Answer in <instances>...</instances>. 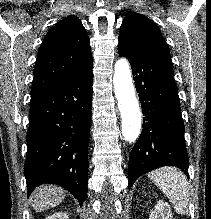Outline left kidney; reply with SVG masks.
I'll list each match as a JSON object with an SVG mask.
<instances>
[{
	"instance_id": "obj_1",
	"label": "left kidney",
	"mask_w": 211,
	"mask_h": 219,
	"mask_svg": "<svg viewBox=\"0 0 211 219\" xmlns=\"http://www.w3.org/2000/svg\"><path fill=\"white\" fill-rule=\"evenodd\" d=\"M149 219H172V212L169 204L159 200L154 210L150 213Z\"/></svg>"
}]
</instances>
